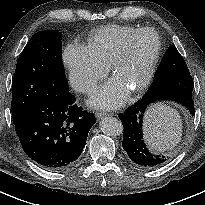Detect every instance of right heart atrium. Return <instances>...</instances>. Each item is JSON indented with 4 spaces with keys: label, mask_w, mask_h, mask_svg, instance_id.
<instances>
[{
    "label": "right heart atrium",
    "mask_w": 205,
    "mask_h": 205,
    "mask_svg": "<svg viewBox=\"0 0 205 205\" xmlns=\"http://www.w3.org/2000/svg\"><path fill=\"white\" fill-rule=\"evenodd\" d=\"M63 62L72 85L82 93H91L107 73V67L97 61L86 46L77 42L67 44Z\"/></svg>",
    "instance_id": "right-heart-atrium-1"
}]
</instances>
